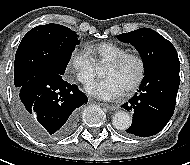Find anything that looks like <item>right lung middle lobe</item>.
Returning <instances> with one entry per match:
<instances>
[{"label": "right lung middle lobe", "mask_w": 190, "mask_h": 165, "mask_svg": "<svg viewBox=\"0 0 190 165\" xmlns=\"http://www.w3.org/2000/svg\"><path fill=\"white\" fill-rule=\"evenodd\" d=\"M78 35L59 24L40 25L22 39L14 63V84L22 87L31 78L47 73L63 75Z\"/></svg>", "instance_id": "1"}]
</instances>
